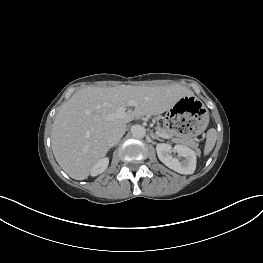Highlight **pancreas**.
Returning <instances> with one entry per match:
<instances>
[{
    "instance_id": "1",
    "label": "pancreas",
    "mask_w": 263,
    "mask_h": 263,
    "mask_svg": "<svg viewBox=\"0 0 263 263\" xmlns=\"http://www.w3.org/2000/svg\"><path fill=\"white\" fill-rule=\"evenodd\" d=\"M158 131L162 134L166 135V138L171 139L172 142L175 143H181L184 145H187L195 150H198L199 144L194 140V139H189V138H174V136H177L176 132L172 129L169 128H159Z\"/></svg>"
}]
</instances>
